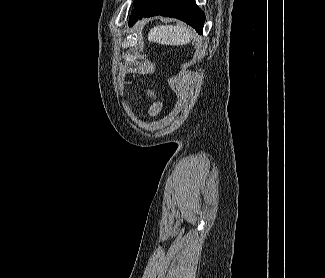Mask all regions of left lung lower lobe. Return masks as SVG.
Returning <instances> with one entry per match:
<instances>
[{"mask_svg":"<svg viewBox=\"0 0 325 278\" xmlns=\"http://www.w3.org/2000/svg\"><path fill=\"white\" fill-rule=\"evenodd\" d=\"M133 5L129 26L142 17L162 15L180 19L202 34L205 15L194 0H135Z\"/></svg>","mask_w":325,"mask_h":278,"instance_id":"obj_1","label":"left lung lower lobe"}]
</instances>
